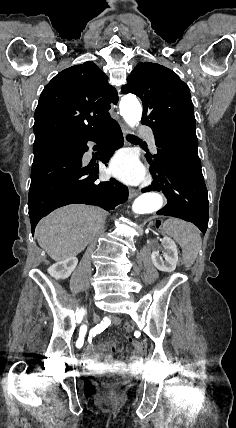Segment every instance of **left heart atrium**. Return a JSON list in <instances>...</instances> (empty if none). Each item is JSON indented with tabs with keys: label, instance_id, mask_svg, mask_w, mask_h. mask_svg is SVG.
I'll return each mask as SVG.
<instances>
[{
	"label": "left heart atrium",
	"instance_id": "obj_1",
	"mask_svg": "<svg viewBox=\"0 0 236 428\" xmlns=\"http://www.w3.org/2000/svg\"><path fill=\"white\" fill-rule=\"evenodd\" d=\"M110 173L128 183H137L143 172L138 161L127 152L119 153L112 161Z\"/></svg>",
	"mask_w": 236,
	"mask_h": 428
}]
</instances>
